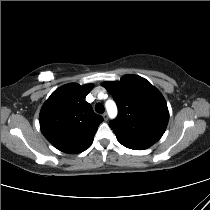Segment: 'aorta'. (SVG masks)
Listing matches in <instances>:
<instances>
[{
    "label": "aorta",
    "instance_id": "obj_1",
    "mask_svg": "<svg viewBox=\"0 0 210 210\" xmlns=\"http://www.w3.org/2000/svg\"><path fill=\"white\" fill-rule=\"evenodd\" d=\"M106 108L108 111V114L111 118H115L117 115V106L113 100H108L106 102Z\"/></svg>",
    "mask_w": 210,
    "mask_h": 210
}]
</instances>
